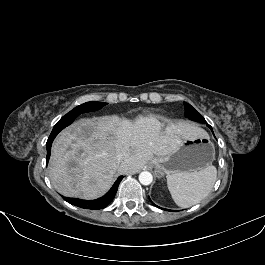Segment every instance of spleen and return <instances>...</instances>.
Segmentation results:
<instances>
[{
	"instance_id": "obj_1",
	"label": "spleen",
	"mask_w": 265,
	"mask_h": 265,
	"mask_svg": "<svg viewBox=\"0 0 265 265\" xmlns=\"http://www.w3.org/2000/svg\"><path fill=\"white\" fill-rule=\"evenodd\" d=\"M216 175V167L210 165L200 171L168 175L167 186L175 203L188 208L199 203L210 193Z\"/></svg>"
}]
</instances>
